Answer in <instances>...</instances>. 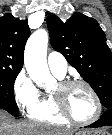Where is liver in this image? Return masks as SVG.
<instances>
[{
  "label": "liver",
  "instance_id": "liver-1",
  "mask_svg": "<svg viewBox=\"0 0 112 135\" xmlns=\"http://www.w3.org/2000/svg\"><path fill=\"white\" fill-rule=\"evenodd\" d=\"M103 134L100 131H96ZM71 131L32 121H15L0 110V135H71Z\"/></svg>",
  "mask_w": 112,
  "mask_h": 135
}]
</instances>
